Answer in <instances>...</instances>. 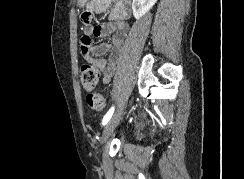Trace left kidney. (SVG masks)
Masks as SVG:
<instances>
[{"label": "left kidney", "mask_w": 244, "mask_h": 179, "mask_svg": "<svg viewBox=\"0 0 244 179\" xmlns=\"http://www.w3.org/2000/svg\"><path fill=\"white\" fill-rule=\"evenodd\" d=\"M157 0H133L132 2V10L133 16L136 20L142 18L148 10L153 8L154 4H156Z\"/></svg>", "instance_id": "obj_1"}]
</instances>
